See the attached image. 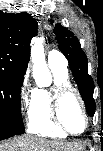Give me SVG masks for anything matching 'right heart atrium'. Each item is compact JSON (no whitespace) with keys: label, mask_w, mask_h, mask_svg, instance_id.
Instances as JSON below:
<instances>
[{"label":"right heart atrium","mask_w":103,"mask_h":151,"mask_svg":"<svg viewBox=\"0 0 103 151\" xmlns=\"http://www.w3.org/2000/svg\"><path fill=\"white\" fill-rule=\"evenodd\" d=\"M18 95H19L20 105L21 107H23L31 97V90L29 89V85L26 78L23 79L20 85Z\"/></svg>","instance_id":"d8ad5b80"}]
</instances>
